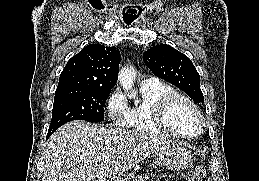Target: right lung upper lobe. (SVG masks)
<instances>
[{
    "label": "right lung upper lobe",
    "instance_id": "right-lung-upper-lobe-1",
    "mask_svg": "<svg viewBox=\"0 0 259 181\" xmlns=\"http://www.w3.org/2000/svg\"><path fill=\"white\" fill-rule=\"evenodd\" d=\"M120 51L90 44L73 56L60 74L57 89L77 88L110 91L116 84Z\"/></svg>",
    "mask_w": 259,
    "mask_h": 181
}]
</instances>
